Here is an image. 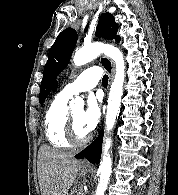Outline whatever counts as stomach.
I'll return each mask as SVG.
<instances>
[{
  "label": "stomach",
  "mask_w": 178,
  "mask_h": 195,
  "mask_svg": "<svg viewBox=\"0 0 178 195\" xmlns=\"http://www.w3.org/2000/svg\"><path fill=\"white\" fill-rule=\"evenodd\" d=\"M88 172H89V170H87V169H80V175L81 176H85ZM75 193H77V195H78L79 191L76 188H73L71 190L70 194H68V195H75Z\"/></svg>",
  "instance_id": "obj_1"
}]
</instances>
